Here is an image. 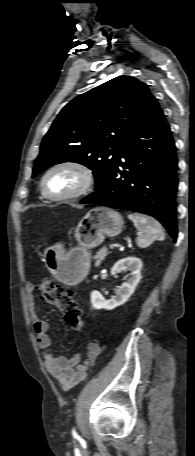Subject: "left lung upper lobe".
Returning <instances> with one entry per match:
<instances>
[{
	"label": "left lung upper lobe",
	"instance_id": "left-lung-upper-lobe-1",
	"mask_svg": "<svg viewBox=\"0 0 195 456\" xmlns=\"http://www.w3.org/2000/svg\"><path fill=\"white\" fill-rule=\"evenodd\" d=\"M155 97L134 77L119 76L70 101L43 138L32 177L63 162L93 170L95 189L117 161L124 140Z\"/></svg>",
	"mask_w": 195,
	"mask_h": 456
}]
</instances>
